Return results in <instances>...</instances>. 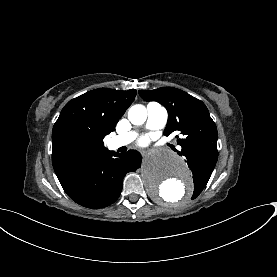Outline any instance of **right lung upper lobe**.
Masks as SVG:
<instances>
[{
    "label": "right lung upper lobe",
    "mask_w": 277,
    "mask_h": 277,
    "mask_svg": "<svg viewBox=\"0 0 277 277\" xmlns=\"http://www.w3.org/2000/svg\"><path fill=\"white\" fill-rule=\"evenodd\" d=\"M137 91L98 88L70 100L52 131V163L57 176L108 152L103 139L133 102Z\"/></svg>",
    "instance_id": "right-lung-upper-lobe-1"
}]
</instances>
